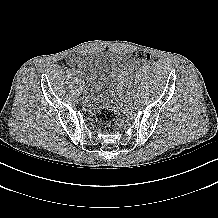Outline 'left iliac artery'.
Returning <instances> with one entry per match:
<instances>
[{"label": "left iliac artery", "instance_id": "left-iliac-artery-1", "mask_svg": "<svg viewBox=\"0 0 218 218\" xmlns=\"http://www.w3.org/2000/svg\"><path fill=\"white\" fill-rule=\"evenodd\" d=\"M133 95H134V94H133V89H132V92H129V93H128V96H129V97H132Z\"/></svg>", "mask_w": 218, "mask_h": 218}]
</instances>
